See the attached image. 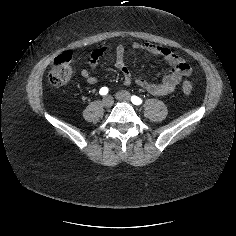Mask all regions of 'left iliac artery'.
<instances>
[{
    "label": "left iliac artery",
    "instance_id": "left-iliac-artery-1",
    "mask_svg": "<svg viewBox=\"0 0 236 236\" xmlns=\"http://www.w3.org/2000/svg\"><path fill=\"white\" fill-rule=\"evenodd\" d=\"M131 102L135 105H140V104H142V99L139 98L138 96L133 95L131 97Z\"/></svg>",
    "mask_w": 236,
    "mask_h": 236
}]
</instances>
